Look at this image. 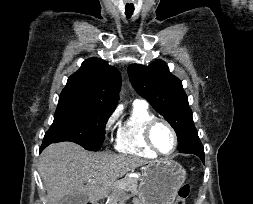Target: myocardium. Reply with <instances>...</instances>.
Masks as SVG:
<instances>
[{
  "instance_id": "myocardium-1",
  "label": "myocardium",
  "mask_w": 253,
  "mask_h": 204,
  "mask_svg": "<svg viewBox=\"0 0 253 204\" xmlns=\"http://www.w3.org/2000/svg\"><path fill=\"white\" fill-rule=\"evenodd\" d=\"M159 123L164 124L169 129V131L171 132V134L173 136L174 145H173V149L169 153L161 152L153 142L152 131H153L154 127ZM144 140H145L147 146L154 153H156L157 155L163 156V157L172 156L178 148V135H177L174 127L171 125V123L163 118L155 117V118L151 119L149 122H147V124L145 125V128H144Z\"/></svg>"
}]
</instances>
